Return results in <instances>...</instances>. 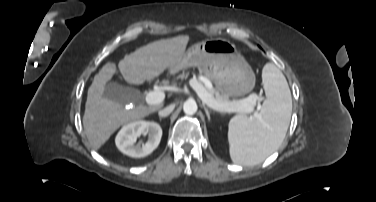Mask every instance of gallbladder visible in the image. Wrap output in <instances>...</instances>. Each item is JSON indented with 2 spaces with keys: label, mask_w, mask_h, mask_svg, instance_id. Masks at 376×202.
Returning a JSON list of instances; mask_svg holds the SVG:
<instances>
[{
  "label": "gallbladder",
  "mask_w": 376,
  "mask_h": 202,
  "mask_svg": "<svg viewBox=\"0 0 376 202\" xmlns=\"http://www.w3.org/2000/svg\"><path fill=\"white\" fill-rule=\"evenodd\" d=\"M103 96L116 103L129 104L137 102L139 91L133 87L125 86L116 82H108L105 85Z\"/></svg>",
  "instance_id": "gallbladder-1"
}]
</instances>
